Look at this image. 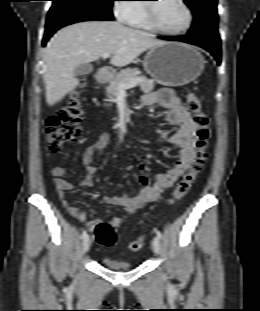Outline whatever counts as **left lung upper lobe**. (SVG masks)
I'll return each mask as SVG.
<instances>
[{"label": "left lung upper lobe", "mask_w": 260, "mask_h": 311, "mask_svg": "<svg viewBox=\"0 0 260 311\" xmlns=\"http://www.w3.org/2000/svg\"><path fill=\"white\" fill-rule=\"evenodd\" d=\"M191 8L194 21L188 34L220 39L218 34L217 0H184Z\"/></svg>", "instance_id": "left-lung-upper-lobe-1"}]
</instances>
